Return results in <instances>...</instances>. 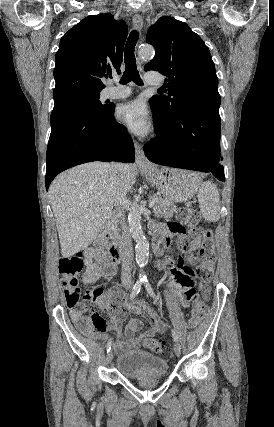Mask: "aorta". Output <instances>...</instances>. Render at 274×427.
<instances>
[{"label": "aorta", "instance_id": "obj_1", "mask_svg": "<svg viewBox=\"0 0 274 427\" xmlns=\"http://www.w3.org/2000/svg\"><path fill=\"white\" fill-rule=\"evenodd\" d=\"M139 55L142 58L151 59L154 56V49L152 46H144L140 48ZM129 230L132 238L136 242L135 259L140 267H144L148 262L149 243L146 240L143 230L141 228V214L138 206L134 205L130 208L128 214Z\"/></svg>", "mask_w": 274, "mask_h": 427}]
</instances>
